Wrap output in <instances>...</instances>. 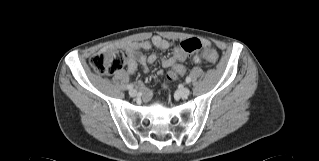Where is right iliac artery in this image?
Instances as JSON below:
<instances>
[{
  "label": "right iliac artery",
  "mask_w": 319,
  "mask_h": 161,
  "mask_svg": "<svg viewBox=\"0 0 319 161\" xmlns=\"http://www.w3.org/2000/svg\"><path fill=\"white\" fill-rule=\"evenodd\" d=\"M133 87H134V86H133L132 84H130V85L127 86V89L132 90Z\"/></svg>",
  "instance_id": "right-iliac-artery-1"
}]
</instances>
